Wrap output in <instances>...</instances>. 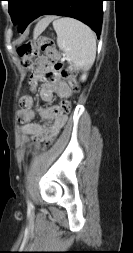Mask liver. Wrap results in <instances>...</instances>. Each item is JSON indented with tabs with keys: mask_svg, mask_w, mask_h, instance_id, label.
Listing matches in <instances>:
<instances>
[{
	"mask_svg": "<svg viewBox=\"0 0 133 253\" xmlns=\"http://www.w3.org/2000/svg\"><path fill=\"white\" fill-rule=\"evenodd\" d=\"M53 19L54 16H46L45 18L41 19L34 29V36L40 35Z\"/></svg>",
	"mask_w": 133,
	"mask_h": 253,
	"instance_id": "obj_1",
	"label": "liver"
}]
</instances>
